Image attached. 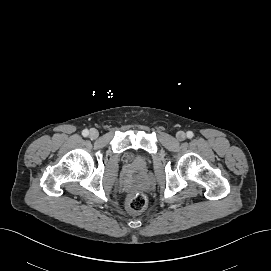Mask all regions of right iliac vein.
Wrapping results in <instances>:
<instances>
[{
    "instance_id": "right-iliac-vein-1",
    "label": "right iliac vein",
    "mask_w": 271,
    "mask_h": 271,
    "mask_svg": "<svg viewBox=\"0 0 271 271\" xmlns=\"http://www.w3.org/2000/svg\"><path fill=\"white\" fill-rule=\"evenodd\" d=\"M89 136L91 139H96L99 136V132L96 129H91L89 132Z\"/></svg>"
}]
</instances>
